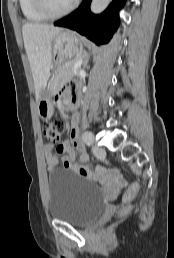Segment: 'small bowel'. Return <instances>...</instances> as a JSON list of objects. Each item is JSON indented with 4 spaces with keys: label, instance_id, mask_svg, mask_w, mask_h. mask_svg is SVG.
Here are the masks:
<instances>
[{
    "label": "small bowel",
    "instance_id": "obj_1",
    "mask_svg": "<svg viewBox=\"0 0 174 258\" xmlns=\"http://www.w3.org/2000/svg\"><path fill=\"white\" fill-rule=\"evenodd\" d=\"M63 94L70 98H78L73 88L65 90ZM79 125V117L74 115L71 119L69 140L58 144L56 147L53 145L44 146L48 171L55 170L59 160H61L65 168L82 175L84 179H101V184H113L114 181L118 184H128V179H122L121 171H113L112 167H90L88 155L79 140ZM76 151L78 152V162H76Z\"/></svg>",
    "mask_w": 174,
    "mask_h": 258
}]
</instances>
